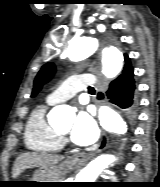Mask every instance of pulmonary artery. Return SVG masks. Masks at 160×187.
Returning <instances> with one entry per match:
<instances>
[{"label":"pulmonary artery","mask_w":160,"mask_h":187,"mask_svg":"<svg viewBox=\"0 0 160 187\" xmlns=\"http://www.w3.org/2000/svg\"><path fill=\"white\" fill-rule=\"evenodd\" d=\"M95 83L96 79L93 76L86 74L73 75L47 96V103L53 105L65 102Z\"/></svg>","instance_id":"1"}]
</instances>
